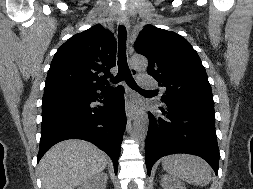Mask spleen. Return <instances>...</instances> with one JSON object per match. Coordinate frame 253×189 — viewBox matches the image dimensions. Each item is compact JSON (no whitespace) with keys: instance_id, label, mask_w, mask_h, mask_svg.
Masks as SVG:
<instances>
[{"instance_id":"spleen-1","label":"spleen","mask_w":253,"mask_h":189,"mask_svg":"<svg viewBox=\"0 0 253 189\" xmlns=\"http://www.w3.org/2000/svg\"><path fill=\"white\" fill-rule=\"evenodd\" d=\"M162 166L171 177L193 185H206L211 181V168L203 159L190 154H174L162 160Z\"/></svg>"}]
</instances>
